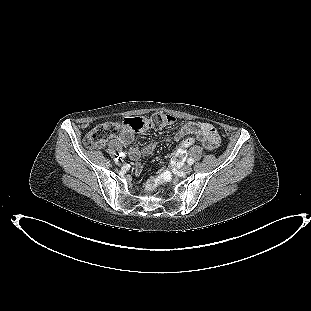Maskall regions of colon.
I'll return each mask as SVG.
<instances>
[{
  "label": "colon",
  "mask_w": 311,
  "mask_h": 311,
  "mask_svg": "<svg viewBox=\"0 0 311 311\" xmlns=\"http://www.w3.org/2000/svg\"><path fill=\"white\" fill-rule=\"evenodd\" d=\"M176 123V118L165 113H155L148 117H131L124 119L121 123L106 122L94 127L84 138V145L90 149L102 147L109 139L119 134L120 128L128 131L140 132L149 127H164ZM169 179L168 169L162 170L156 178L150 179L146 184V190L154 191L160 184Z\"/></svg>",
  "instance_id": "obj_1"
}]
</instances>
